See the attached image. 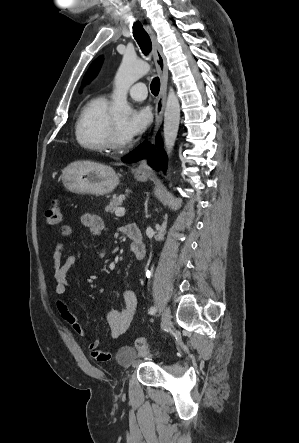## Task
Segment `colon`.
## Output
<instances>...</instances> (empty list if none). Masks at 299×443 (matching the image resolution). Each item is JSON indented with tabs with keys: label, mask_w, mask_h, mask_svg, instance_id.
I'll return each mask as SVG.
<instances>
[{
	"label": "colon",
	"mask_w": 299,
	"mask_h": 443,
	"mask_svg": "<svg viewBox=\"0 0 299 443\" xmlns=\"http://www.w3.org/2000/svg\"><path fill=\"white\" fill-rule=\"evenodd\" d=\"M45 217L47 224L51 227L57 226L61 222L62 213L60 208V201L58 198H54L51 201L50 205L47 207L45 211ZM134 346L139 352L147 354V357L149 359H152L154 361L157 360L158 358L157 355L149 352L147 342L144 339L137 338L134 341ZM130 354L131 352L129 349H124L120 353V359L124 360L128 358Z\"/></svg>",
	"instance_id": "5ec220e1"
}]
</instances>
